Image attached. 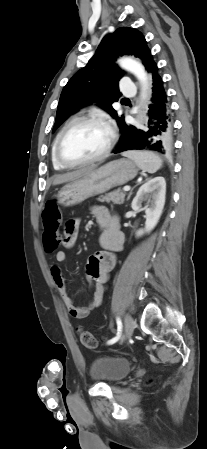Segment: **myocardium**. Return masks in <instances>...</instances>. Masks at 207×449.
<instances>
[{"label":"myocardium","mask_w":207,"mask_h":449,"mask_svg":"<svg viewBox=\"0 0 207 449\" xmlns=\"http://www.w3.org/2000/svg\"><path fill=\"white\" fill-rule=\"evenodd\" d=\"M80 124H95V125L103 126L104 128L107 129V131L109 133V140H108L107 146L99 155H97L93 158H90V159L73 162V161H69L63 157V155L61 153V145H62L63 139L66 136V134L73 127L80 125ZM115 142H116V133H115L114 129L110 126V124L105 119L100 118V117H80V118L74 119L71 122H69L59 133L56 144H55V156H56V159L59 162V164L65 168H75V167L86 166V165H90V164H93V163H96V162H99V161L105 159L112 151V149L115 145Z\"/></svg>","instance_id":"1"}]
</instances>
